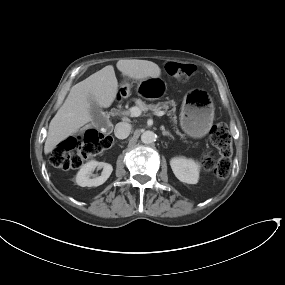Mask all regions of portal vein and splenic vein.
Returning a JSON list of instances; mask_svg holds the SVG:
<instances>
[{"mask_svg": "<svg viewBox=\"0 0 285 285\" xmlns=\"http://www.w3.org/2000/svg\"><path fill=\"white\" fill-rule=\"evenodd\" d=\"M123 114L124 115H130L132 117H138L141 115V109L137 106H134V107L129 108V110L125 111ZM155 114L157 116H163V115H165V112L164 111H156Z\"/></svg>", "mask_w": 285, "mask_h": 285, "instance_id": "18ae733b", "label": "portal vein and splenic vein"}]
</instances>
